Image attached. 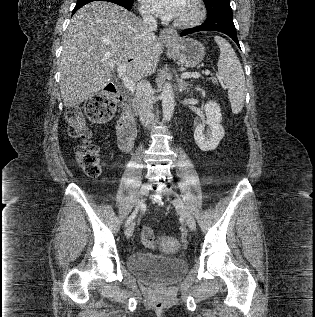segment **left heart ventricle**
I'll list each match as a JSON object with an SVG mask.
<instances>
[{"instance_id":"b2bd125f","label":"left heart ventricle","mask_w":315,"mask_h":317,"mask_svg":"<svg viewBox=\"0 0 315 317\" xmlns=\"http://www.w3.org/2000/svg\"><path fill=\"white\" fill-rule=\"evenodd\" d=\"M194 13V8L190 0H185L181 11L177 15L176 19L183 20L191 17Z\"/></svg>"}]
</instances>
